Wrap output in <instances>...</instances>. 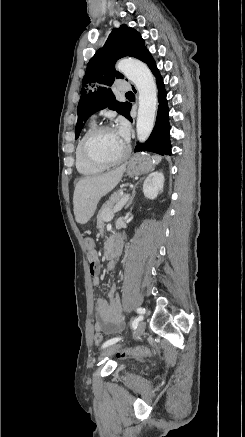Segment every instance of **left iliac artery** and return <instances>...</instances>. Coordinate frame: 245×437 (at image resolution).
Here are the masks:
<instances>
[{
    "instance_id": "left-iliac-artery-1",
    "label": "left iliac artery",
    "mask_w": 245,
    "mask_h": 437,
    "mask_svg": "<svg viewBox=\"0 0 245 437\" xmlns=\"http://www.w3.org/2000/svg\"><path fill=\"white\" fill-rule=\"evenodd\" d=\"M137 312L140 314V316L137 318V319H135V321H134V323H138L140 320H142V316L141 315H143L144 313H145V309L144 308H137ZM121 340V337H115V338H112V339H110V340H108V341H106L103 345H102V348H106V347H108V346H110V345H113V344H115V343H117L118 341H120Z\"/></svg>"
}]
</instances>
